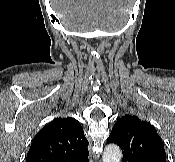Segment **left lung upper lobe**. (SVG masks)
Here are the masks:
<instances>
[{"label":"left lung upper lobe","instance_id":"left-lung-upper-lobe-1","mask_svg":"<svg viewBox=\"0 0 175 162\" xmlns=\"http://www.w3.org/2000/svg\"><path fill=\"white\" fill-rule=\"evenodd\" d=\"M107 141L123 150V162H166L162 139L150 123L136 116L125 115L117 120Z\"/></svg>","mask_w":175,"mask_h":162}]
</instances>
